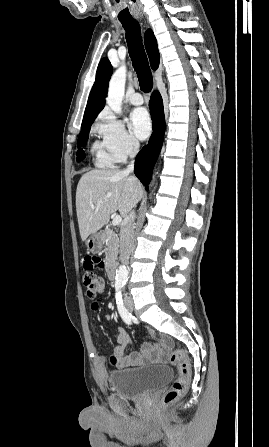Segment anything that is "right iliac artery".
Wrapping results in <instances>:
<instances>
[{"label": "right iliac artery", "instance_id": "obj_1", "mask_svg": "<svg viewBox=\"0 0 269 447\" xmlns=\"http://www.w3.org/2000/svg\"><path fill=\"white\" fill-rule=\"evenodd\" d=\"M124 284H116V304L119 311V314L121 318L124 320L125 323L131 324L133 316L128 312V310L125 308L122 300V294L121 290Z\"/></svg>", "mask_w": 269, "mask_h": 447}]
</instances>
